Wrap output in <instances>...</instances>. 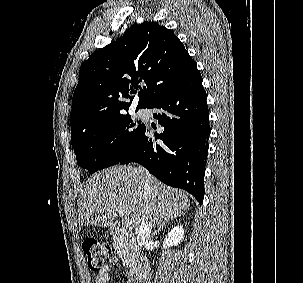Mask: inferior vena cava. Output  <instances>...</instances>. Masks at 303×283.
<instances>
[{
    "mask_svg": "<svg viewBox=\"0 0 303 283\" xmlns=\"http://www.w3.org/2000/svg\"><path fill=\"white\" fill-rule=\"evenodd\" d=\"M144 189L146 196L151 194V189L147 179H145ZM151 230H152V225L148 222L146 218H142L141 224L137 232V238H136L137 242L138 243L147 242L151 236Z\"/></svg>",
    "mask_w": 303,
    "mask_h": 283,
    "instance_id": "1",
    "label": "inferior vena cava"
}]
</instances>
